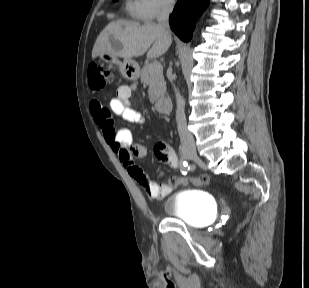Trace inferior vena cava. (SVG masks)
I'll list each match as a JSON object with an SVG mask.
<instances>
[{
  "instance_id": "inferior-vena-cava-1",
  "label": "inferior vena cava",
  "mask_w": 309,
  "mask_h": 288,
  "mask_svg": "<svg viewBox=\"0 0 309 288\" xmlns=\"http://www.w3.org/2000/svg\"><path fill=\"white\" fill-rule=\"evenodd\" d=\"M174 0H166L161 12L157 17L158 25L163 29L164 34L168 37L170 35V28H169V15L174 8ZM175 96H176V122L178 133L180 137V141L183 145L194 144V138L192 134L187 130V123H186V116H185V102L180 95V92L174 87Z\"/></svg>"
}]
</instances>
